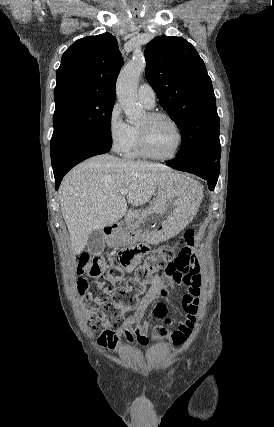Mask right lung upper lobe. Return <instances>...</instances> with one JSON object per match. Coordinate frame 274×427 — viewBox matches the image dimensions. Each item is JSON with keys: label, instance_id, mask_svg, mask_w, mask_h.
<instances>
[{"label": "right lung upper lobe", "instance_id": "cb5924a9", "mask_svg": "<svg viewBox=\"0 0 274 427\" xmlns=\"http://www.w3.org/2000/svg\"><path fill=\"white\" fill-rule=\"evenodd\" d=\"M123 64L117 40L110 33L77 40L63 54L56 72L55 104L87 96H116Z\"/></svg>", "mask_w": 274, "mask_h": 427}]
</instances>
